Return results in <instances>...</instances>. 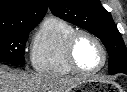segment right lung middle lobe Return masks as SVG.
<instances>
[{
    "instance_id": "right-lung-middle-lobe-1",
    "label": "right lung middle lobe",
    "mask_w": 127,
    "mask_h": 92,
    "mask_svg": "<svg viewBox=\"0 0 127 92\" xmlns=\"http://www.w3.org/2000/svg\"><path fill=\"white\" fill-rule=\"evenodd\" d=\"M34 26L0 30V62L24 63V48Z\"/></svg>"
}]
</instances>
